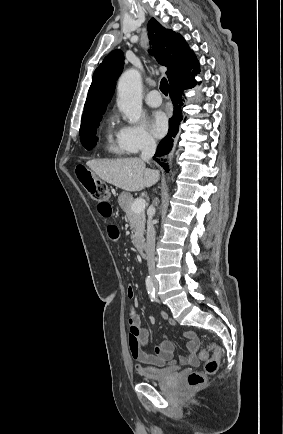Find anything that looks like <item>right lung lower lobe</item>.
<instances>
[{"label":"right lung lower lobe","instance_id":"98d812e1","mask_svg":"<svg viewBox=\"0 0 283 434\" xmlns=\"http://www.w3.org/2000/svg\"><path fill=\"white\" fill-rule=\"evenodd\" d=\"M196 85V81L193 83H172L170 85V97L174 105V115L169 119V131L157 147L155 156H162L169 153L173 146V140L178 133L179 124L182 121L181 108L183 106V90L192 88ZM154 159H156L154 157ZM164 169L168 172V167L163 165Z\"/></svg>","mask_w":283,"mask_h":434}]
</instances>
